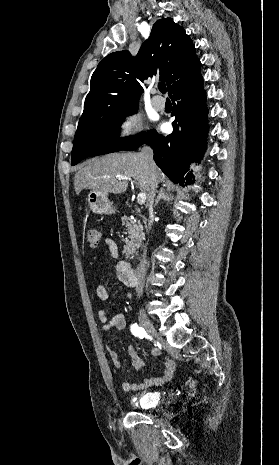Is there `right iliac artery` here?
I'll list each match as a JSON object with an SVG mask.
<instances>
[{"label": "right iliac artery", "mask_w": 279, "mask_h": 465, "mask_svg": "<svg viewBox=\"0 0 279 465\" xmlns=\"http://www.w3.org/2000/svg\"><path fill=\"white\" fill-rule=\"evenodd\" d=\"M131 332L133 335L139 338H143V336L146 334L145 330L136 323L131 325Z\"/></svg>", "instance_id": "1"}]
</instances>
